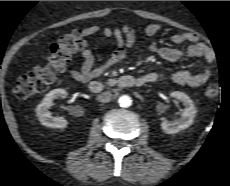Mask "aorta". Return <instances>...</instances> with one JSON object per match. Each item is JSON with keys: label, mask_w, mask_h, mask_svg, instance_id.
Here are the masks:
<instances>
[{"label": "aorta", "mask_w": 230, "mask_h": 186, "mask_svg": "<svg viewBox=\"0 0 230 186\" xmlns=\"http://www.w3.org/2000/svg\"><path fill=\"white\" fill-rule=\"evenodd\" d=\"M118 103L121 107L128 108L132 105V99L127 95H123L118 99Z\"/></svg>", "instance_id": "aorta-1"}]
</instances>
